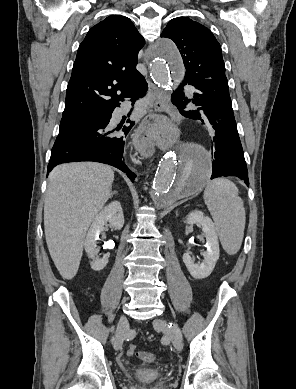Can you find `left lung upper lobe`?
I'll list each match as a JSON object with an SVG mask.
<instances>
[{
	"label": "left lung upper lobe",
	"mask_w": 296,
	"mask_h": 389,
	"mask_svg": "<svg viewBox=\"0 0 296 389\" xmlns=\"http://www.w3.org/2000/svg\"><path fill=\"white\" fill-rule=\"evenodd\" d=\"M161 37L172 39L184 61L183 83L227 79L221 46L208 28L187 17L169 21Z\"/></svg>",
	"instance_id": "1"
}]
</instances>
